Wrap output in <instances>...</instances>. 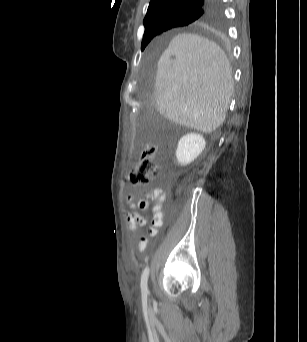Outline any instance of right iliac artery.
Returning a JSON list of instances; mask_svg holds the SVG:
<instances>
[{
	"label": "right iliac artery",
	"instance_id": "right-iliac-artery-1",
	"mask_svg": "<svg viewBox=\"0 0 307 342\" xmlns=\"http://www.w3.org/2000/svg\"><path fill=\"white\" fill-rule=\"evenodd\" d=\"M149 275V268L146 267L141 275V292L143 296V304H146V298L148 294L147 280Z\"/></svg>",
	"mask_w": 307,
	"mask_h": 342
}]
</instances>
